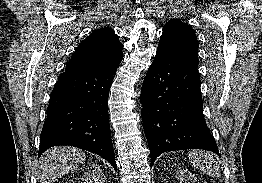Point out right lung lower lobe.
I'll list each match as a JSON object with an SVG mask.
<instances>
[{
    "mask_svg": "<svg viewBox=\"0 0 262 183\" xmlns=\"http://www.w3.org/2000/svg\"><path fill=\"white\" fill-rule=\"evenodd\" d=\"M116 70L65 71L59 77L50 95L39 155L53 146L70 145L100 155L117 170L107 103Z\"/></svg>",
    "mask_w": 262,
    "mask_h": 183,
    "instance_id": "98d812e1",
    "label": "right lung lower lobe"
}]
</instances>
